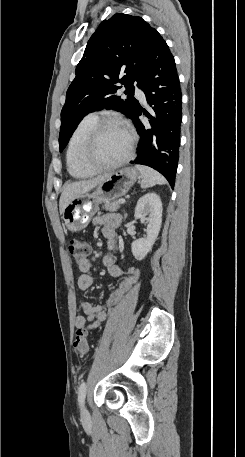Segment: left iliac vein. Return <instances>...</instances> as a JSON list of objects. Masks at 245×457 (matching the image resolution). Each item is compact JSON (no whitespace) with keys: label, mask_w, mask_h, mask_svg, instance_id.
Wrapping results in <instances>:
<instances>
[{"label":"left iliac vein","mask_w":245,"mask_h":457,"mask_svg":"<svg viewBox=\"0 0 245 457\" xmlns=\"http://www.w3.org/2000/svg\"><path fill=\"white\" fill-rule=\"evenodd\" d=\"M81 417L83 419H88L89 418V413H88V410H87V408L85 406L81 408Z\"/></svg>","instance_id":"1"}]
</instances>
